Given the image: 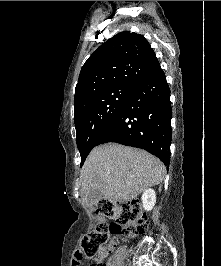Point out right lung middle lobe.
<instances>
[{
  "mask_svg": "<svg viewBox=\"0 0 221 266\" xmlns=\"http://www.w3.org/2000/svg\"><path fill=\"white\" fill-rule=\"evenodd\" d=\"M132 90L130 86H116L92 93L80 101L74 110V123L81 166L99 136L121 112Z\"/></svg>",
  "mask_w": 221,
  "mask_h": 266,
  "instance_id": "dd1d6c3e",
  "label": "right lung middle lobe"
}]
</instances>
